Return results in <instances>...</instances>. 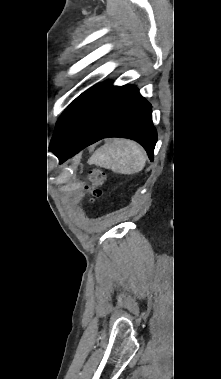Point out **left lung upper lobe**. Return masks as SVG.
Returning <instances> with one entry per match:
<instances>
[{"instance_id": "1", "label": "left lung upper lobe", "mask_w": 221, "mask_h": 379, "mask_svg": "<svg viewBox=\"0 0 221 379\" xmlns=\"http://www.w3.org/2000/svg\"><path fill=\"white\" fill-rule=\"evenodd\" d=\"M111 85L109 82L102 83L87 90L76 98L60 116L54 131L50 149L56 153L73 133L77 124L94 106L102 94Z\"/></svg>"}]
</instances>
